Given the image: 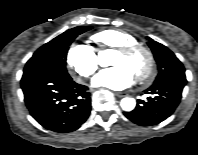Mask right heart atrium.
Listing matches in <instances>:
<instances>
[{
  "label": "right heart atrium",
  "instance_id": "d8ad5b80",
  "mask_svg": "<svg viewBox=\"0 0 198 155\" xmlns=\"http://www.w3.org/2000/svg\"><path fill=\"white\" fill-rule=\"evenodd\" d=\"M66 61L68 69L75 76L90 77L98 68L96 51L85 43L71 45L67 51Z\"/></svg>",
  "mask_w": 198,
  "mask_h": 155
}]
</instances>
